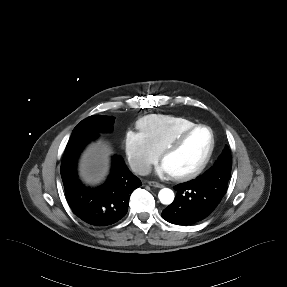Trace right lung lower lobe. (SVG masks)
Segmentation results:
<instances>
[{
    "instance_id": "98d812e1",
    "label": "right lung lower lobe",
    "mask_w": 287,
    "mask_h": 287,
    "mask_svg": "<svg viewBox=\"0 0 287 287\" xmlns=\"http://www.w3.org/2000/svg\"><path fill=\"white\" fill-rule=\"evenodd\" d=\"M98 135L94 131L71 135L61 163V177L73 213L92 226H108L125 216L130 195L141 186V182L121 157L114 156L110 175L103 185L93 188L81 183L77 175L79 155Z\"/></svg>"
}]
</instances>
